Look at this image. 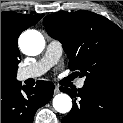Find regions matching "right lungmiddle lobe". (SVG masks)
I'll return each mask as SVG.
<instances>
[{
  "label": "right lung middle lobe",
  "mask_w": 123,
  "mask_h": 123,
  "mask_svg": "<svg viewBox=\"0 0 123 123\" xmlns=\"http://www.w3.org/2000/svg\"><path fill=\"white\" fill-rule=\"evenodd\" d=\"M18 63L5 52H1V83H7L15 79Z\"/></svg>",
  "instance_id": "right-lung-middle-lobe-1"
}]
</instances>
